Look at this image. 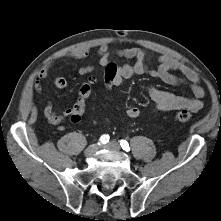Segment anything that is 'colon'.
Listing matches in <instances>:
<instances>
[{"mask_svg":"<svg viewBox=\"0 0 221 221\" xmlns=\"http://www.w3.org/2000/svg\"><path fill=\"white\" fill-rule=\"evenodd\" d=\"M120 70V65L115 60H110L106 63L105 69H103L100 73V85L104 89H109L112 87L113 82L116 79V74ZM94 79L90 77L86 83H84L79 91L77 100L73 106V114L71 115L70 119L73 122L80 121L85 108H86V101L90 96L91 93V84L93 83ZM174 119L178 122H189L192 119V115L187 110L179 111L175 114Z\"/></svg>","mask_w":221,"mask_h":221,"instance_id":"colon-1","label":"colon"}]
</instances>
